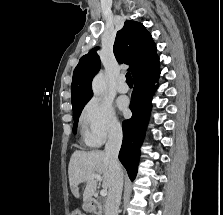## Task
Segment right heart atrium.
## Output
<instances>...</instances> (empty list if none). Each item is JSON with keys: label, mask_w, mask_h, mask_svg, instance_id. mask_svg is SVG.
I'll use <instances>...</instances> for the list:
<instances>
[{"label": "right heart atrium", "mask_w": 223, "mask_h": 215, "mask_svg": "<svg viewBox=\"0 0 223 215\" xmlns=\"http://www.w3.org/2000/svg\"><path fill=\"white\" fill-rule=\"evenodd\" d=\"M81 128L88 142L103 143L107 138L117 136L121 125L112 106L99 98H92L84 106Z\"/></svg>", "instance_id": "d8ad5b80"}]
</instances>
